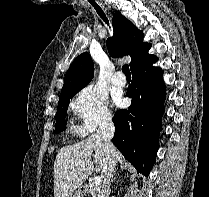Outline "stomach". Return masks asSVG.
Returning <instances> with one entry per match:
<instances>
[{"instance_id": "1", "label": "stomach", "mask_w": 209, "mask_h": 197, "mask_svg": "<svg viewBox=\"0 0 209 197\" xmlns=\"http://www.w3.org/2000/svg\"><path fill=\"white\" fill-rule=\"evenodd\" d=\"M68 197H81V195L79 192H75V193L70 194Z\"/></svg>"}]
</instances>
